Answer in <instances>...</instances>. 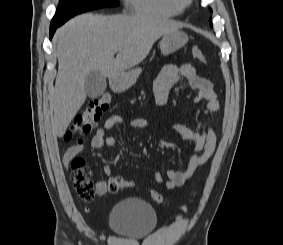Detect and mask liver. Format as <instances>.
Wrapping results in <instances>:
<instances>
[{"instance_id": "1", "label": "liver", "mask_w": 283, "mask_h": 245, "mask_svg": "<svg viewBox=\"0 0 283 245\" xmlns=\"http://www.w3.org/2000/svg\"><path fill=\"white\" fill-rule=\"evenodd\" d=\"M181 27L171 20L142 15L82 14L69 20L56 33L58 74L52 118L55 134L64 135L84 104L89 72L99 71L109 79L116 78L142 62L161 36Z\"/></svg>"}]
</instances>
